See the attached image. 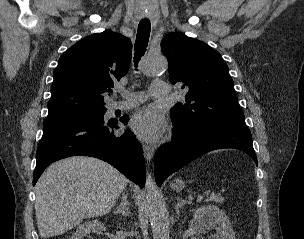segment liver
I'll return each instance as SVG.
<instances>
[{
    "label": "liver",
    "instance_id": "1",
    "mask_svg": "<svg viewBox=\"0 0 304 239\" xmlns=\"http://www.w3.org/2000/svg\"><path fill=\"white\" fill-rule=\"evenodd\" d=\"M128 179L111 165L85 156L51 164L35 189V211L41 238L61 235L84 218L107 214Z\"/></svg>",
    "mask_w": 304,
    "mask_h": 239
}]
</instances>
